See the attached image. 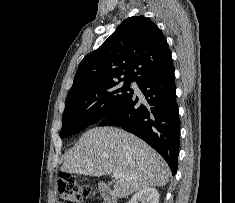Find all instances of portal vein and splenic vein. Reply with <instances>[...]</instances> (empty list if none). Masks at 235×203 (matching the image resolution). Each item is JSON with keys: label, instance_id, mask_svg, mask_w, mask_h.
<instances>
[{"label": "portal vein and splenic vein", "instance_id": "18ae733b", "mask_svg": "<svg viewBox=\"0 0 235 203\" xmlns=\"http://www.w3.org/2000/svg\"><path fill=\"white\" fill-rule=\"evenodd\" d=\"M122 176V174L120 172H115L112 174V177L115 178V179H118Z\"/></svg>", "mask_w": 235, "mask_h": 203}]
</instances>
